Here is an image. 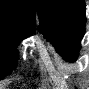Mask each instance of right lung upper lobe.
<instances>
[{"label":"right lung upper lobe","instance_id":"right-lung-upper-lobe-1","mask_svg":"<svg viewBox=\"0 0 89 89\" xmlns=\"http://www.w3.org/2000/svg\"><path fill=\"white\" fill-rule=\"evenodd\" d=\"M35 7L33 0H1L0 21L6 20L34 30Z\"/></svg>","mask_w":89,"mask_h":89}]
</instances>
